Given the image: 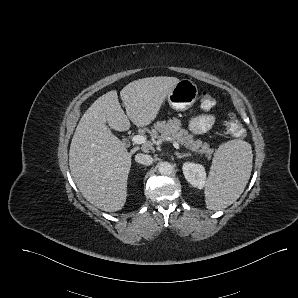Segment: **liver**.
Segmentation results:
<instances>
[{"label": "liver", "instance_id": "1", "mask_svg": "<svg viewBox=\"0 0 298 298\" xmlns=\"http://www.w3.org/2000/svg\"><path fill=\"white\" fill-rule=\"evenodd\" d=\"M179 81L169 76L134 80L120 91L126 114L117 91L111 90L96 99L81 117L70 144L69 166L79 191L95 207L106 212L123 208L131 157L139 150L135 147L128 152L110 128L127 131L130 121L137 127L149 125Z\"/></svg>", "mask_w": 298, "mask_h": 298}]
</instances>
